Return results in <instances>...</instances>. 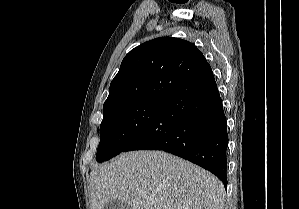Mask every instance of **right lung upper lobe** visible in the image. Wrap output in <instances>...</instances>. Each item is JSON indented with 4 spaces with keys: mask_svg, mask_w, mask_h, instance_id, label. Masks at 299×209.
Segmentation results:
<instances>
[{
    "mask_svg": "<svg viewBox=\"0 0 299 209\" xmlns=\"http://www.w3.org/2000/svg\"><path fill=\"white\" fill-rule=\"evenodd\" d=\"M210 70L192 43L172 37L150 40L123 59L103 111L142 101L165 102L190 78Z\"/></svg>",
    "mask_w": 299,
    "mask_h": 209,
    "instance_id": "right-lung-upper-lobe-1",
    "label": "right lung upper lobe"
}]
</instances>
